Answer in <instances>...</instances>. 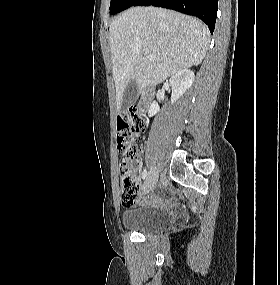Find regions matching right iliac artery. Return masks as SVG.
I'll return each mask as SVG.
<instances>
[{"instance_id":"right-iliac-artery-1","label":"right iliac artery","mask_w":280,"mask_h":285,"mask_svg":"<svg viewBox=\"0 0 280 285\" xmlns=\"http://www.w3.org/2000/svg\"><path fill=\"white\" fill-rule=\"evenodd\" d=\"M147 176V170L144 169V171L142 172V179H145Z\"/></svg>"}]
</instances>
